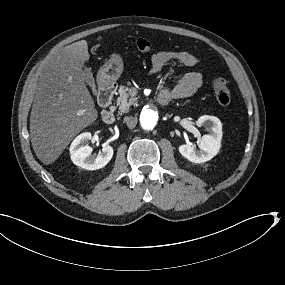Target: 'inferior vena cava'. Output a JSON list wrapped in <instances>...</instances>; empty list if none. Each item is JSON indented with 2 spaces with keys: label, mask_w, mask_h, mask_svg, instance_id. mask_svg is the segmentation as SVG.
Listing matches in <instances>:
<instances>
[{
  "label": "inferior vena cava",
  "mask_w": 285,
  "mask_h": 285,
  "mask_svg": "<svg viewBox=\"0 0 285 285\" xmlns=\"http://www.w3.org/2000/svg\"><path fill=\"white\" fill-rule=\"evenodd\" d=\"M123 121L130 129H133L137 124V117H124Z\"/></svg>",
  "instance_id": "obj_1"
}]
</instances>
